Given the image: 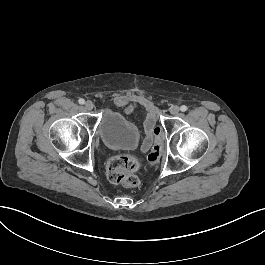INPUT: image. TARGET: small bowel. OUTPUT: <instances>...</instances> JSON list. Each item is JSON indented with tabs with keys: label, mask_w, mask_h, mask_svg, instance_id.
<instances>
[{
	"label": "small bowel",
	"mask_w": 265,
	"mask_h": 265,
	"mask_svg": "<svg viewBox=\"0 0 265 265\" xmlns=\"http://www.w3.org/2000/svg\"><path fill=\"white\" fill-rule=\"evenodd\" d=\"M114 103L120 108L126 107L129 103H131L134 108H139L141 105H143V110L148 111L144 119L145 137L141 145V151H149L153 141V136L155 132L154 125L155 121L157 120L156 114L159 113V108H150L149 101H144L143 98H139L134 95L116 94L114 96Z\"/></svg>",
	"instance_id": "obj_1"
}]
</instances>
